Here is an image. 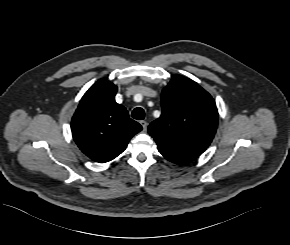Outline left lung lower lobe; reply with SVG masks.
Listing matches in <instances>:
<instances>
[{"instance_id":"left-lung-lower-lobe-1","label":"left lung lower lobe","mask_w":290,"mask_h":245,"mask_svg":"<svg viewBox=\"0 0 290 245\" xmlns=\"http://www.w3.org/2000/svg\"><path fill=\"white\" fill-rule=\"evenodd\" d=\"M174 163H176V162H174ZM177 164H180V165H182L181 163H177Z\"/></svg>"}]
</instances>
